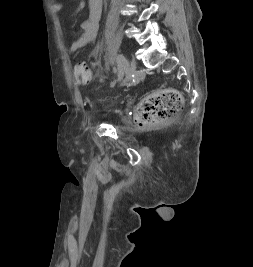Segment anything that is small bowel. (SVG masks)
<instances>
[{
  "instance_id": "obj_1",
  "label": "small bowel",
  "mask_w": 253,
  "mask_h": 267,
  "mask_svg": "<svg viewBox=\"0 0 253 267\" xmlns=\"http://www.w3.org/2000/svg\"><path fill=\"white\" fill-rule=\"evenodd\" d=\"M89 14L85 21L81 24V34L74 40L70 46V51L75 52L85 47L92 42L98 31L99 21L102 12V0H89ZM62 5L60 3H53L51 6L54 14H59L62 11Z\"/></svg>"
}]
</instances>
